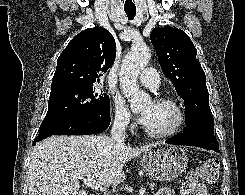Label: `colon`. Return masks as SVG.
<instances>
[{
	"label": "colon",
	"mask_w": 245,
	"mask_h": 195,
	"mask_svg": "<svg viewBox=\"0 0 245 195\" xmlns=\"http://www.w3.org/2000/svg\"><path fill=\"white\" fill-rule=\"evenodd\" d=\"M219 179V164L215 159L206 160L200 167L188 175L182 187L183 195H203L201 181L216 184Z\"/></svg>",
	"instance_id": "colon-1"
}]
</instances>
